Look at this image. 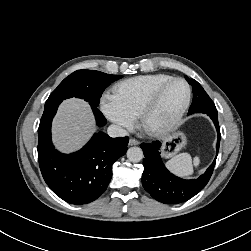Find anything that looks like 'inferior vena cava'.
<instances>
[{"instance_id":"1","label":"inferior vena cava","mask_w":251,"mask_h":251,"mask_svg":"<svg viewBox=\"0 0 251 251\" xmlns=\"http://www.w3.org/2000/svg\"><path fill=\"white\" fill-rule=\"evenodd\" d=\"M107 132L110 137H124L128 135V132L124 128L115 124L110 125Z\"/></svg>"}]
</instances>
